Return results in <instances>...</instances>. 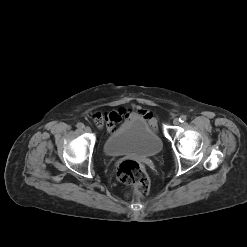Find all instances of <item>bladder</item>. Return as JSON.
Returning <instances> with one entry per match:
<instances>
[{"mask_svg": "<svg viewBox=\"0 0 247 247\" xmlns=\"http://www.w3.org/2000/svg\"><path fill=\"white\" fill-rule=\"evenodd\" d=\"M161 150L160 137L141 116L127 119L103 143V151L110 157L123 155L153 157Z\"/></svg>", "mask_w": 247, "mask_h": 247, "instance_id": "1", "label": "bladder"}]
</instances>
